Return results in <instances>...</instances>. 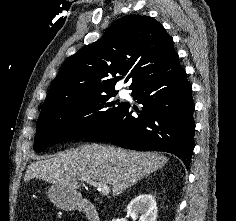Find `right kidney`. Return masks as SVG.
I'll use <instances>...</instances> for the list:
<instances>
[{"mask_svg":"<svg viewBox=\"0 0 236 221\" xmlns=\"http://www.w3.org/2000/svg\"><path fill=\"white\" fill-rule=\"evenodd\" d=\"M157 205L154 196L139 194L127 206V216L133 221H156Z\"/></svg>","mask_w":236,"mask_h":221,"instance_id":"ca27d5eb","label":"right kidney"}]
</instances>
